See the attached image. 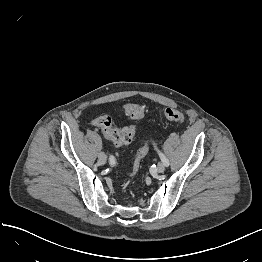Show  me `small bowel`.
Listing matches in <instances>:
<instances>
[{"mask_svg":"<svg viewBox=\"0 0 262 262\" xmlns=\"http://www.w3.org/2000/svg\"><path fill=\"white\" fill-rule=\"evenodd\" d=\"M100 118V117H99ZM99 118H96L94 121H93V123L96 125V121L99 119ZM97 126V125H96ZM112 165H114V163L112 164Z\"/></svg>","mask_w":262,"mask_h":262,"instance_id":"1","label":"small bowel"}]
</instances>
